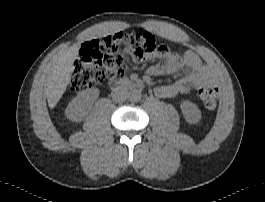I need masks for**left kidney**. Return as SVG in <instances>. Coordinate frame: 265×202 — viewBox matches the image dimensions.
Returning a JSON list of instances; mask_svg holds the SVG:
<instances>
[{
    "mask_svg": "<svg viewBox=\"0 0 265 202\" xmlns=\"http://www.w3.org/2000/svg\"><path fill=\"white\" fill-rule=\"evenodd\" d=\"M185 120L190 124H196L201 119V112L196 104L190 101H183L180 104Z\"/></svg>",
    "mask_w": 265,
    "mask_h": 202,
    "instance_id": "5707ae66",
    "label": "left kidney"
}]
</instances>
